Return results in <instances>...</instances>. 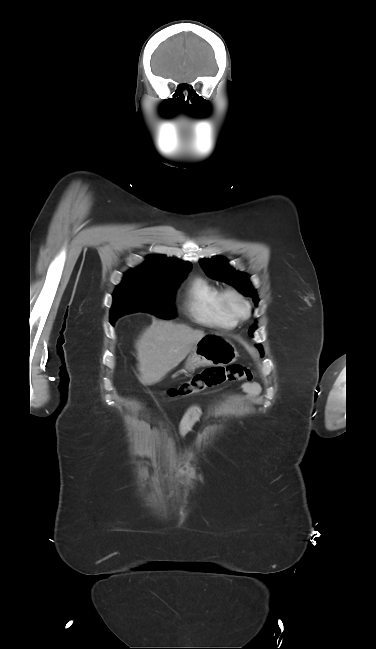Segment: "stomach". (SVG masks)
Returning <instances> with one entry per match:
<instances>
[{
  "instance_id": "stomach-1",
  "label": "stomach",
  "mask_w": 376,
  "mask_h": 649,
  "mask_svg": "<svg viewBox=\"0 0 376 649\" xmlns=\"http://www.w3.org/2000/svg\"><path fill=\"white\" fill-rule=\"evenodd\" d=\"M235 345L218 334L204 335L198 340L185 362V370L194 371L203 366H227L237 360Z\"/></svg>"
}]
</instances>
